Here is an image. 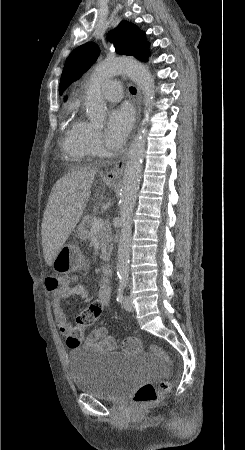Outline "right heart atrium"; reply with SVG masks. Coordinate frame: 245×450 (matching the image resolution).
<instances>
[{
	"label": "right heart atrium",
	"mask_w": 245,
	"mask_h": 450,
	"mask_svg": "<svg viewBox=\"0 0 245 450\" xmlns=\"http://www.w3.org/2000/svg\"><path fill=\"white\" fill-rule=\"evenodd\" d=\"M85 143L88 154L96 155L103 149L102 136L92 124L85 122Z\"/></svg>",
	"instance_id": "obj_1"
}]
</instances>
